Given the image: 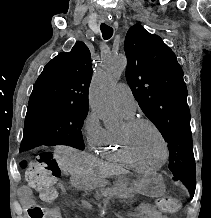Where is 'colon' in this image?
Returning <instances> with one entry per match:
<instances>
[{"label":"colon","mask_w":211,"mask_h":218,"mask_svg":"<svg viewBox=\"0 0 211 218\" xmlns=\"http://www.w3.org/2000/svg\"><path fill=\"white\" fill-rule=\"evenodd\" d=\"M25 177L29 186L37 191L45 201L54 200L58 195L56 187L60 176L59 166L53 155L47 150H39L31 161L22 163ZM179 206L174 198H162L158 201V208L163 212H172ZM29 218H49V212L39 206H32L28 210Z\"/></svg>","instance_id":"1"}]
</instances>
